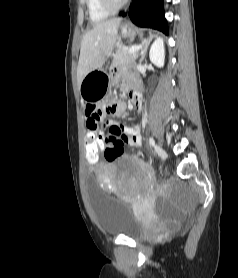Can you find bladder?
I'll use <instances>...</instances> for the list:
<instances>
[{
  "label": "bladder",
  "mask_w": 238,
  "mask_h": 278,
  "mask_svg": "<svg viewBox=\"0 0 238 278\" xmlns=\"http://www.w3.org/2000/svg\"><path fill=\"white\" fill-rule=\"evenodd\" d=\"M87 180H96V175H87ZM86 186H89L88 193L92 194V209L102 232L135 240L148 233L145 222L135 215L129 203L105 193L98 181H86Z\"/></svg>",
  "instance_id": "1"
}]
</instances>
